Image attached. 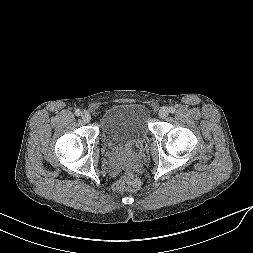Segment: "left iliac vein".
Returning <instances> with one entry per match:
<instances>
[{
  "mask_svg": "<svg viewBox=\"0 0 253 253\" xmlns=\"http://www.w3.org/2000/svg\"><path fill=\"white\" fill-rule=\"evenodd\" d=\"M169 115V109L167 107H162L159 110V117L164 119Z\"/></svg>",
  "mask_w": 253,
  "mask_h": 253,
  "instance_id": "obj_1",
  "label": "left iliac vein"
}]
</instances>
